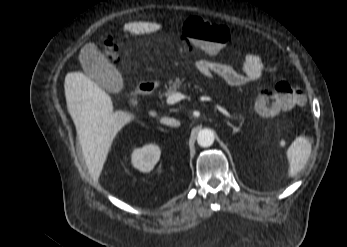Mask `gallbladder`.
Returning <instances> with one entry per match:
<instances>
[{
    "instance_id": "1",
    "label": "gallbladder",
    "mask_w": 347,
    "mask_h": 247,
    "mask_svg": "<svg viewBox=\"0 0 347 247\" xmlns=\"http://www.w3.org/2000/svg\"><path fill=\"white\" fill-rule=\"evenodd\" d=\"M85 74L107 92L118 94L124 87L122 75L93 45H88L79 55Z\"/></svg>"
}]
</instances>
